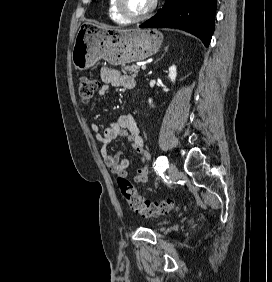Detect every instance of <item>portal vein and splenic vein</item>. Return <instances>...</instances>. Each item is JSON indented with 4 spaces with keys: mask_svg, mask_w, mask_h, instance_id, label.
Returning a JSON list of instances; mask_svg holds the SVG:
<instances>
[{
    "mask_svg": "<svg viewBox=\"0 0 272 282\" xmlns=\"http://www.w3.org/2000/svg\"><path fill=\"white\" fill-rule=\"evenodd\" d=\"M141 69H142V70H146V65H142V66H141Z\"/></svg>",
    "mask_w": 272,
    "mask_h": 282,
    "instance_id": "portal-vein-and-splenic-vein-1",
    "label": "portal vein and splenic vein"
}]
</instances>
